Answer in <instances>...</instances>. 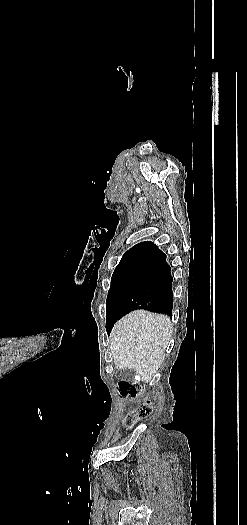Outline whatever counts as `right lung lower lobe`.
<instances>
[{
    "instance_id": "right-lung-lower-lobe-1",
    "label": "right lung lower lobe",
    "mask_w": 247,
    "mask_h": 525,
    "mask_svg": "<svg viewBox=\"0 0 247 525\" xmlns=\"http://www.w3.org/2000/svg\"><path fill=\"white\" fill-rule=\"evenodd\" d=\"M172 281L170 266L166 262V255L162 253L156 257L148 271L124 300L119 310V318L137 309L165 313L171 316L173 308ZM112 327H106L108 334Z\"/></svg>"
}]
</instances>
